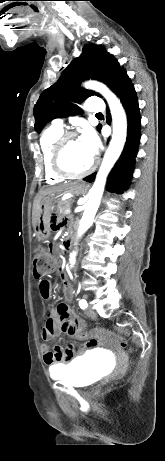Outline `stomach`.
<instances>
[{
    "label": "stomach",
    "instance_id": "stomach-1",
    "mask_svg": "<svg viewBox=\"0 0 165 461\" xmlns=\"http://www.w3.org/2000/svg\"><path fill=\"white\" fill-rule=\"evenodd\" d=\"M72 192L75 194H84L86 191V185L81 182H76L71 188ZM54 205H53V195L44 197L41 202L40 216L38 223L35 227V233L38 240H46L50 236L51 231V221L49 220V215L52 214Z\"/></svg>",
    "mask_w": 165,
    "mask_h": 461
}]
</instances>
